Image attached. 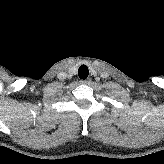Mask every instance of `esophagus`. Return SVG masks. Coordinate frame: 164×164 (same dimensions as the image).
<instances>
[{"label":"esophagus","instance_id":"1","mask_svg":"<svg viewBox=\"0 0 164 164\" xmlns=\"http://www.w3.org/2000/svg\"><path fill=\"white\" fill-rule=\"evenodd\" d=\"M82 84H90L91 83V80L90 79H87V80H81L80 81Z\"/></svg>","mask_w":164,"mask_h":164}]
</instances>
